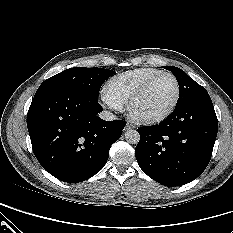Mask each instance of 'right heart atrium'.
Wrapping results in <instances>:
<instances>
[{"mask_svg":"<svg viewBox=\"0 0 233 233\" xmlns=\"http://www.w3.org/2000/svg\"><path fill=\"white\" fill-rule=\"evenodd\" d=\"M101 100L108 108L113 110H121L123 107L122 104L112 97L106 88L101 91Z\"/></svg>","mask_w":233,"mask_h":233,"instance_id":"1","label":"right heart atrium"}]
</instances>
